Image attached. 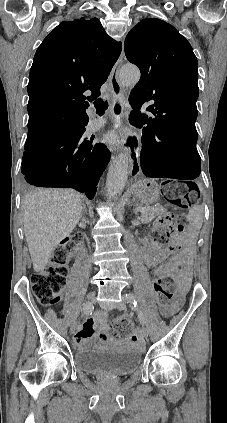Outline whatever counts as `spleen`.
<instances>
[{"mask_svg": "<svg viewBox=\"0 0 227 423\" xmlns=\"http://www.w3.org/2000/svg\"><path fill=\"white\" fill-rule=\"evenodd\" d=\"M188 221L192 227H201L202 225V210L199 206H193L188 213Z\"/></svg>", "mask_w": 227, "mask_h": 423, "instance_id": "spleen-1", "label": "spleen"}]
</instances>
